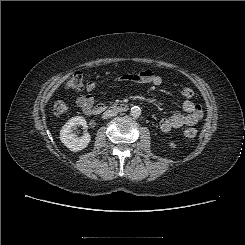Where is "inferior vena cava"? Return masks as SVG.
I'll return each instance as SVG.
<instances>
[{
    "instance_id": "obj_1",
    "label": "inferior vena cava",
    "mask_w": 245,
    "mask_h": 245,
    "mask_svg": "<svg viewBox=\"0 0 245 245\" xmlns=\"http://www.w3.org/2000/svg\"><path fill=\"white\" fill-rule=\"evenodd\" d=\"M117 115V111L115 110H106L103 115H102V118L103 119H107V118H110V117H113V116H116Z\"/></svg>"
}]
</instances>
